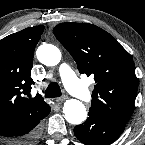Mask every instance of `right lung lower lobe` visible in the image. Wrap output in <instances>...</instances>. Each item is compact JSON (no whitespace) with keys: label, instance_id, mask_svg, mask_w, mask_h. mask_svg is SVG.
Returning a JSON list of instances; mask_svg holds the SVG:
<instances>
[{"label":"right lung lower lobe","instance_id":"right-lung-lower-lobe-1","mask_svg":"<svg viewBox=\"0 0 145 145\" xmlns=\"http://www.w3.org/2000/svg\"><path fill=\"white\" fill-rule=\"evenodd\" d=\"M51 108L46 104L37 114L28 120L13 126H1L0 138L16 145H29L34 142L40 133V121L50 112Z\"/></svg>","mask_w":145,"mask_h":145}]
</instances>
